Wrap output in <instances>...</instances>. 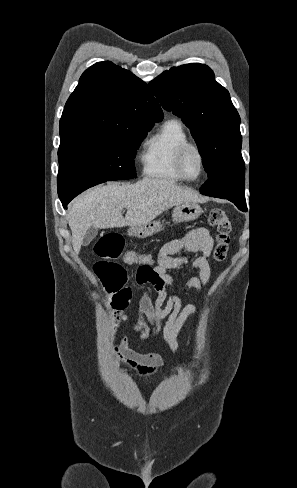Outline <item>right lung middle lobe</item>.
Here are the masks:
<instances>
[{"label": "right lung middle lobe", "instance_id": "obj_1", "mask_svg": "<svg viewBox=\"0 0 297 488\" xmlns=\"http://www.w3.org/2000/svg\"><path fill=\"white\" fill-rule=\"evenodd\" d=\"M153 124L119 133H100L61 139L58 150V196L70 202L94 185L136 177L134 155Z\"/></svg>", "mask_w": 297, "mask_h": 488}]
</instances>
